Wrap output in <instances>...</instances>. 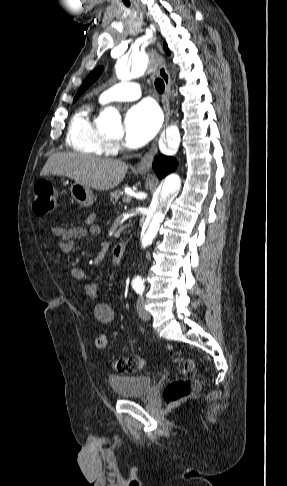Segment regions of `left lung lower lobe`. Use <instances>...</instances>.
Segmentation results:
<instances>
[{
    "label": "left lung lower lobe",
    "mask_w": 287,
    "mask_h": 486,
    "mask_svg": "<svg viewBox=\"0 0 287 486\" xmlns=\"http://www.w3.org/2000/svg\"><path fill=\"white\" fill-rule=\"evenodd\" d=\"M177 166L175 158L158 155L154 159L153 169L159 178L165 177L170 172L174 171Z\"/></svg>",
    "instance_id": "1"
}]
</instances>
